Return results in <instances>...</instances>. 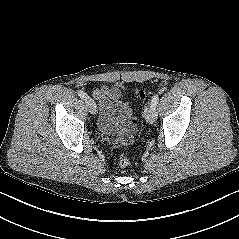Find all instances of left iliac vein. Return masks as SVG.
Here are the masks:
<instances>
[{
  "mask_svg": "<svg viewBox=\"0 0 239 239\" xmlns=\"http://www.w3.org/2000/svg\"><path fill=\"white\" fill-rule=\"evenodd\" d=\"M144 117L147 122L154 123L157 119L156 107L152 104L148 105L144 111Z\"/></svg>",
  "mask_w": 239,
  "mask_h": 239,
  "instance_id": "obj_1",
  "label": "left iliac vein"
}]
</instances>
